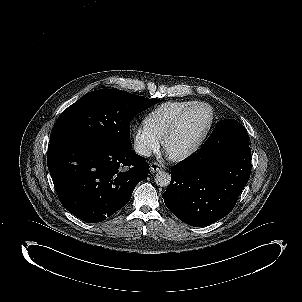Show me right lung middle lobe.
<instances>
[{"label": "right lung middle lobe", "instance_id": "right-lung-middle-lobe-1", "mask_svg": "<svg viewBox=\"0 0 302 302\" xmlns=\"http://www.w3.org/2000/svg\"><path fill=\"white\" fill-rule=\"evenodd\" d=\"M157 102L159 99H147L120 90L89 92L60 114L50 143L100 138L131 147L130 122L137 113Z\"/></svg>", "mask_w": 302, "mask_h": 302}]
</instances>
